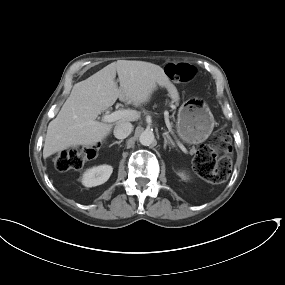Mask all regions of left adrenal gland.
Instances as JSON below:
<instances>
[{"mask_svg": "<svg viewBox=\"0 0 285 285\" xmlns=\"http://www.w3.org/2000/svg\"><path fill=\"white\" fill-rule=\"evenodd\" d=\"M163 138H164V149H166L167 145L174 147V143L170 141L164 133H163Z\"/></svg>", "mask_w": 285, "mask_h": 285, "instance_id": "obj_1", "label": "left adrenal gland"}]
</instances>
